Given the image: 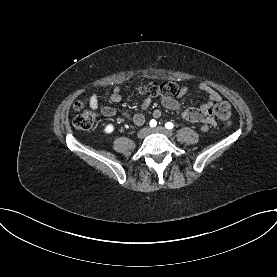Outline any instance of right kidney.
Listing matches in <instances>:
<instances>
[{
  "label": "right kidney",
  "mask_w": 277,
  "mask_h": 277,
  "mask_svg": "<svg viewBox=\"0 0 277 277\" xmlns=\"http://www.w3.org/2000/svg\"><path fill=\"white\" fill-rule=\"evenodd\" d=\"M103 131L106 134H110L114 131V126L112 124H108V125L105 126Z\"/></svg>",
  "instance_id": "ca27d5eb"
}]
</instances>
